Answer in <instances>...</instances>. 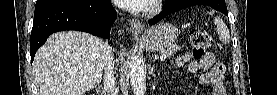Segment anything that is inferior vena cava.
<instances>
[{"label":"inferior vena cava","instance_id":"1","mask_svg":"<svg viewBox=\"0 0 277 95\" xmlns=\"http://www.w3.org/2000/svg\"><path fill=\"white\" fill-rule=\"evenodd\" d=\"M114 69L113 57L110 54L106 59L104 68V90L108 95H117V90L115 88Z\"/></svg>","mask_w":277,"mask_h":95}]
</instances>
